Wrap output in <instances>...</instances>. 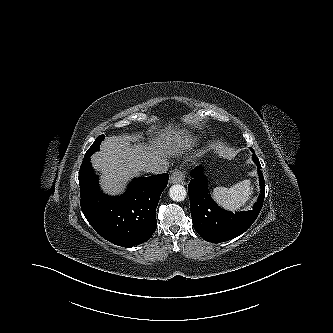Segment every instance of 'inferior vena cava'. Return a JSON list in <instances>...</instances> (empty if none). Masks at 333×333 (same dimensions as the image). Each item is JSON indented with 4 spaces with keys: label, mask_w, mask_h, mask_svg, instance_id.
<instances>
[{
    "label": "inferior vena cava",
    "mask_w": 333,
    "mask_h": 333,
    "mask_svg": "<svg viewBox=\"0 0 333 333\" xmlns=\"http://www.w3.org/2000/svg\"><path fill=\"white\" fill-rule=\"evenodd\" d=\"M168 170V163L165 161H153L145 165V171L151 174H161Z\"/></svg>",
    "instance_id": "1"
}]
</instances>
